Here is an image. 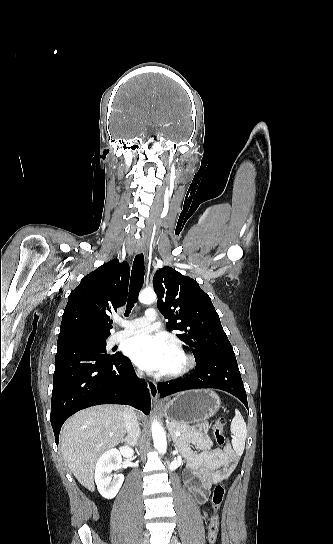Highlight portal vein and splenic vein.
Wrapping results in <instances>:
<instances>
[{"label": "portal vein and splenic vein", "instance_id": "portal-vein-and-splenic-vein-1", "mask_svg": "<svg viewBox=\"0 0 333 544\" xmlns=\"http://www.w3.org/2000/svg\"><path fill=\"white\" fill-rule=\"evenodd\" d=\"M175 435H176V436H179V435H180V432H176Z\"/></svg>", "mask_w": 333, "mask_h": 544}]
</instances>
